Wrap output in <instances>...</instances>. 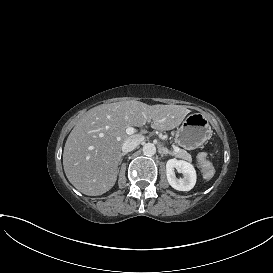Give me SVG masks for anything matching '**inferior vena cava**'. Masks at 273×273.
<instances>
[{
  "mask_svg": "<svg viewBox=\"0 0 273 273\" xmlns=\"http://www.w3.org/2000/svg\"><path fill=\"white\" fill-rule=\"evenodd\" d=\"M142 136H136V137H131L129 139H127L126 141L123 142L122 144V152L126 153L129 151H132L133 149H135L137 147V145L142 141Z\"/></svg>",
  "mask_w": 273,
  "mask_h": 273,
  "instance_id": "inferior-vena-cava-1",
  "label": "inferior vena cava"
}]
</instances>
